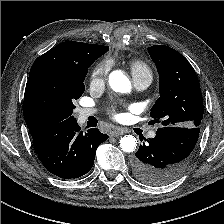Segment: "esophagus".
<instances>
[{"label": "esophagus", "mask_w": 224, "mask_h": 224, "mask_svg": "<svg viewBox=\"0 0 224 224\" xmlns=\"http://www.w3.org/2000/svg\"><path fill=\"white\" fill-rule=\"evenodd\" d=\"M124 133H126V132L123 129H114L113 131L110 132V135L112 137H117V136H120Z\"/></svg>", "instance_id": "obj_1"}]
</instances>
